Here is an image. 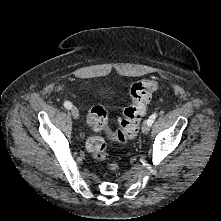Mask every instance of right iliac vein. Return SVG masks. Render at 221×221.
Wrapping results in <instances>:
<instances>
[{"instance_id": "right-iliac-vein-1", "label": "right iliac vein", "mask_w": 221, "mask_h": 221, "mask_svg": "<svg viewBox=\"0 0 221 221\" xmlns=\"http://www.w3.org/2000/svg\"><path fill=\"white\" fill-rule=\"evenodd\" d=\"M71 114H72L74 119H78L79 118V110L76 107H72Z\"/></svg>"}]
</instances>
